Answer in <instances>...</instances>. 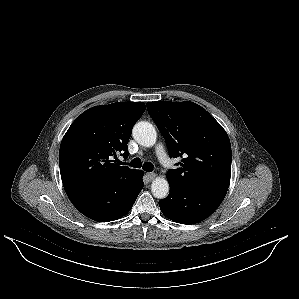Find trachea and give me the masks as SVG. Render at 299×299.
Returning <instances> with one entry per match:
<instances>
[{"label": "trachea", "mask_w": 299, "mask_h": 299, "mask_svg": "<svg viewBox=\"0 0 299 299\" xmlns=\"http://www.w3.org/2000/svg\"><path fill=\"white\" fill-rule=\"evenodd\" d=\"M131 167L134 168H143V170L147 171V172H152L153 171V164L151 162H145L142 165L141 159L140 158H135L131 161V163L129 164Z\"/></svg>", "instance_id": "trachea-1"}]
</instances>
